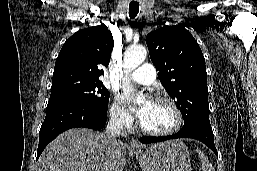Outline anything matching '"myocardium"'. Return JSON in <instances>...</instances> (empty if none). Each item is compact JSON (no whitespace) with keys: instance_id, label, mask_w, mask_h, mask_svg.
<instances>
[{"instance_id":"f54148a6","label":"myocardium","mask_w":257,"mask_h":171,"mask_svg":"<svg viewBox=\"0 0 257 171\" xmlns=\"http://www.w3.org/2000/svg\"><path fill=\"white\" fill-rule=\"evenodd\" d=\"M153 102H158V103H165L171 107L175 114V123L172 127L166 129V130H152L144 127L140 120L138 121V128L141 132L152 135V136H169L174 133H176L183 125V114L179 108V106L176 104V102L167 97V96H158L154 99Z\"/></svg>"}]
</instances>
